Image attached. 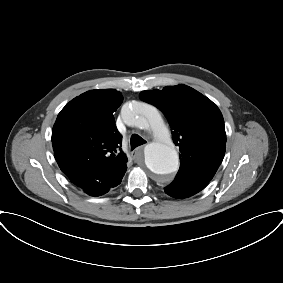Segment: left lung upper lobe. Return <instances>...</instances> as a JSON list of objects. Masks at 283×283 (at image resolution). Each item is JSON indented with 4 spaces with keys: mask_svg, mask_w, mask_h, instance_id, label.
<instances>
[{
    "mask_svg": "<svg viewBox=\"0 0 283 283\" xmlns=\"http://www.w3.org/2000/svg\"><path fill=\"white\" fill-rule=\"evenodd\" d=\"M140 97L158 107L168 119L174 143L181 152L176 178L207 186L226 149L224 120L219 108L186 85L142 91Z\"/></svg>",
    "mask_w": 283,
    "mask_h": 283,
    "instance_id": "left-lung-upper-lobe-1",
    "label": "left lung upper lobe"
}]
</instances>
